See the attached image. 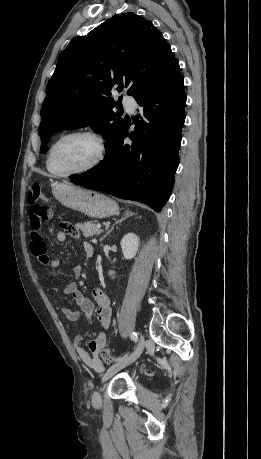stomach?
Instances as JSON below:
<instances>
[{
  "label": "stomach",
  "mask_w": 261,
  "mask_h": 459,
  "mask_svg": "<svg viewBox=\"0 0 261 459\" xmlns=\"http://www.w3.org/2000/svg\"><path fill=\"white\" fill-rule=\"evenodd\" d=\"M52 193L63 206L92 218H106L119 212L113 199L95 190L62 182L53 185Z\"/></svg>",
  "instance_id": "1"
}]
</instances>
